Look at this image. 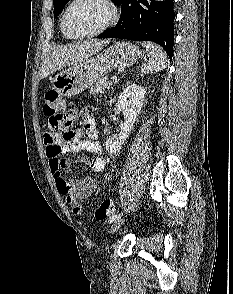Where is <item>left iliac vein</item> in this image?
<instances>
[{
    "label": "left iliac vein",
    "mask_w": 233,
    "mask_h": 294,
    "mask_svg": "<svg viewBox=\"0 0 233 294\" xmlns=\"http://www.w3.org/2000/svg\"><path fill=\"white\" fill-rule=\"evenodd\" d=\"M123 223H124L123 218H119V219L115 220L113 222V224L111 225L110 233L113 234V233L117 232L120 229V227L123 225Z\"/></svg>",
    "instance_id": "1"
}]
</instances>
